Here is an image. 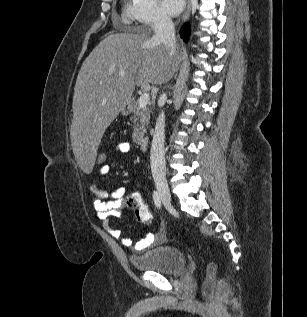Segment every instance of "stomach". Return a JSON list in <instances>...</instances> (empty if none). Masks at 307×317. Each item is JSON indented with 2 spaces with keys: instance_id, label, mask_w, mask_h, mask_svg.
Returning a JSON list of instances; mask_svg holds the SVG:
<instances>
[{
  "instance_id": "stomach-1",
  "label": "stomach",
  "mask_w": 307,
  "mask_h": 317,
  "mask_svg": "<svg viewBox=\"0 0 307 317\" xmlns=\"http://www.w3.org/2000/svg\"><path fill=\"white\" fill-rule=\"evenodd\" d=\"M131 111L132 105L130 100L123 103L119 109V113H121L124 116L128 115Z\"/></svg>"
}]
</instances>
